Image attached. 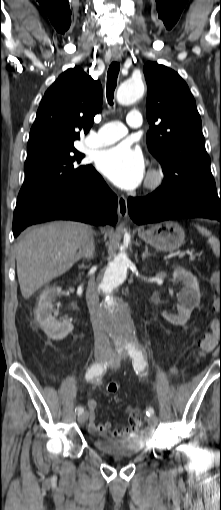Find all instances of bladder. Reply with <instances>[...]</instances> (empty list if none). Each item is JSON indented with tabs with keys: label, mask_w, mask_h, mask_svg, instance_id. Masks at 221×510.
Segmentation results:
<instances>
[{
	"label": "bladder",
	"mask_w": 221,
	"mask_h": 510,
	"mask_svg": "<svg viewBox=\"0 0 221 510\" xmlns=\"http://www.w3.org/2000/svg\"><path fill=\"white\" fill-rule=\"evenodd\" d=\"M93 446L98 452L110 457H131L146 448L143 440L138 437L126 440L114 437L95 438L93 439Z\"/></svg>",
	"instance_id": "bladder-1"
}]
</instances>
